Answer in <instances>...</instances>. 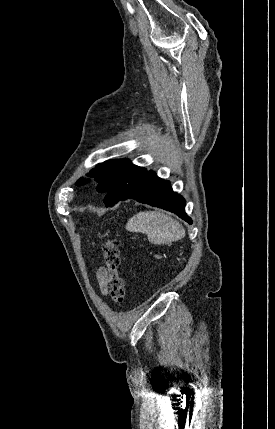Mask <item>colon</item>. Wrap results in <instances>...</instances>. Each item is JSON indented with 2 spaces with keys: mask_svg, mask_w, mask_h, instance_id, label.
Listing matches in <instances>:
<instances>
[{
  "mask_svg": "<svg viewBox=\"0 0 275 429\" xmlns=\"http://www.w3.org/2000/svg\"><path fill=\"white\" fill-rule=\"evenodd\" d=\"M102 250L103 262L108 271L107 287L110 291V296L116 305H121L125 298V287L119 273L120 250L118 240L113 238L106 239Z\"/></svg>",
  "mask_w": 275,
  "mask_h": 429,
  "instance_id": "obj_1",
  "label": "colon"
}]
</instances>
